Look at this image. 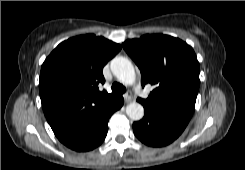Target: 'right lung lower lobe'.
Returning a JSON list of instances; mask_svg holds the SVG:
<instances>
[{
  "label": "right lung lower lobe",
  "instance_id": "1",
  "mask_svg": "<svg viewBox=\"0 0 245 170\" xmlns=\"http://www.w3.org/2000/svg\"><path fill=\"white\" fill-rule=\"evenodd\" d=\"M124 103L122 96H118L110 105L78 137L65 145L76 151H89L98 147L105 139L108 131L110 116L121 108Z\"/></svg>",
  "mask_w": 245,
  "mask_h": 170
}]
</instances>
